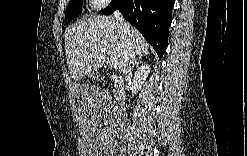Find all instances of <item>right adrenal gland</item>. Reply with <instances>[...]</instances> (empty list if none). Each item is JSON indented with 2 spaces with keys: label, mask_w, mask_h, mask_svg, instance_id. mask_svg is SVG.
I'll return each mask as SVG.
<instances>
[{
  "label": "right adrenal gland",
  "mask_w": 247,
  "mask_h": 156,
  "mask_svg": "<svg viewBox=\"0 0 247 156\" xmlns=\"http://www.w3.org/2000/svg\"><path fill=\"white\" fill-rule=\"evenodd\" d=\"M144 55H139L138 59L133 63L132 68H134V66H139V64H142V58Z\"/></svg>",
  "instance_id": "2a0ac1e0"
}]
</instances>
